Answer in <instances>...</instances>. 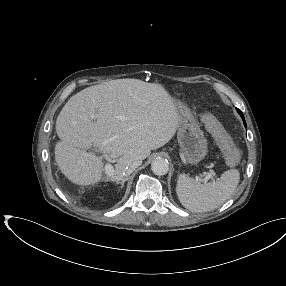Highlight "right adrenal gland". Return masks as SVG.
<instances>
[{"label":"right adrenal gland","mask_w":286,"mask_h":286,"mask_svg":"<svg viewBox=\"0 0 286 286\" xmlns=\"http://www.w3.org/2000/svg\"><path fill=\"white\" fill-rule=\"evenodd\" d=\"M127 179H123L121 182H120V184H121V188H123L124 187V183H125V181H126Z\"/></svg>","instance_id":"2a0ac1e0"}]
</instances>
